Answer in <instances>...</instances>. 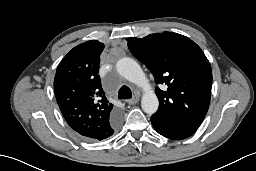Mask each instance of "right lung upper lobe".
Instances as JSON below:
<instances>
[{
    "instance_id": "1",
    "label": "right lung upper lobe",
    "mask_w": 256,
    "mask_h": 171,
    "mask_svg": "<svg viewBox=\"0 0 256 171\" xmlns=\"http://www.w3.org/2000/svg\"><path fill=\"white\" fill-rule=\"evenodd\" d=\"M104 44L92 40L68 52L57 67L54 92L69 126L89 140L111 135L110 122L118 114L105 97L98 75Z\"/></svg>"
}]
</instances>
